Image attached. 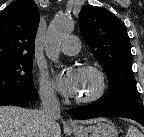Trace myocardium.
<instances>
[{"mask_svg":"<svg viewBox=\"0 0 144 137\" xmlns=\"http://www.w3.org/2000/svg\"><path fill=\"white\" fill-rule=\"evenodd\" d=\"M80 71H86L92 73L97 81L94 91L84 97H76L75 102L77 104H91L98 101L105 93L106 90V78L101 68L94 64H83L79 68Z\"/></svg>","mask_w":144,"mask_h":137,"instance_id":"f54148a6","label":"myocardium"}]
</instances>
